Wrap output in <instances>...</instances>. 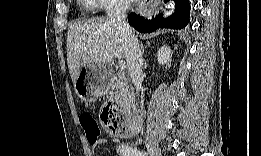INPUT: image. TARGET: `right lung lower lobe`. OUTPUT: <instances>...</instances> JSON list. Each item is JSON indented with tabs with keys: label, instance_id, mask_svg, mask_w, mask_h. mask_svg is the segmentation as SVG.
<instances>
[{
	"label": "right lung lower lobe",
	"instance_id": "right-lung-lower-lobe-1",
	"mask_svg": "<svg viewBox=\"0 0 261 156\" xmlns=\"http://www.w3.org/2000/svg\"><path fill=\"white\" fill-rule=\"evenodd\" d=\"M169 0H165L168 2ZM176 9L175 13L162 21V15H158L157 18L148 20L144 17L136 14L128 16L129 23L138 31L143 33H150L158 28H171L181 29L184 28L189 21V3L187 0H175Z\"/></svg>",
	"mask_w": 261,
	"mask_h": 156
}]
</instances>
